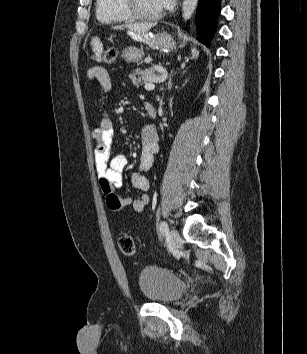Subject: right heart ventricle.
I'll return each mask as SVG.
<instances>
[{"label": "right heart ventricle", "instance_id": "right-heart-ventricle-1", "mask_svg": "<svg viewBox=\"0 0 307 354\" xmlns=\"http://www.w3.org/2000/svg\"><path fill=\"white\" fill-rule=\"evenodd\" d=\"M96 18L103 24L127 22L132 18L124 11L121 0H96Z\"/></svg>", "mask_w": 307, "mask_h": 354}]
</instances>
